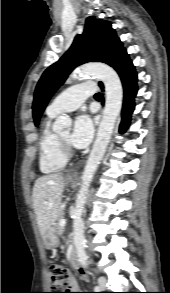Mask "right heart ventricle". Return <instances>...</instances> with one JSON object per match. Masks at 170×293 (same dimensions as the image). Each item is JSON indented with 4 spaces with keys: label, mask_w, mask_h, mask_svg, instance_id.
<instances>
[{
    "label": "right heart ventricle",
    "mask_w": 170,
    "mask_h": 293,
    "mask_svg": "<svg viewBox=\"0 0 170 293\" xmlns=\"http://www.w3.org/2000/svg\"><path fill=\"white\" fill-rule=\"evenodd\" d=\"M56 115L47 113L41 125L38 144V164L41 172L53 173L61 170L67 163V157L63 155L57 142V134L51 128V121Z\"/></svg>",
    "instance_id": "right-heart-ventricle-1"
}]
</instances>
